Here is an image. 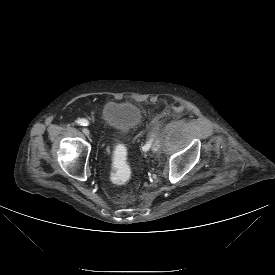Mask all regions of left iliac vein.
<instances>
[{"instance_id":"1","label":"left iliac vein","mask_w":275,"mask_h":275,"mask_svg":"<svg viewBox=\"0 0 275 275\" xmlns=\"http://www.w3.org/2000/svg\"><path fill=\"white\" fill-rule=\"evenodd\" d=\"M161 147V142L159 139H155L153 144H152V151L157 152Z\"/></svg>"}]
</instances>
